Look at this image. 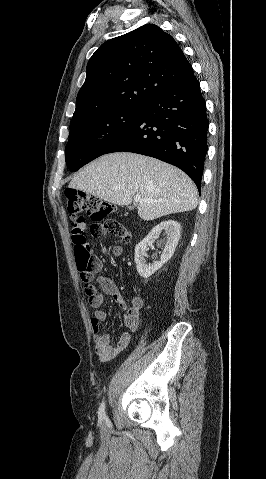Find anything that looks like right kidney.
I'll return each mask as SVG.
<instances>
[{
    "label": "right kidney",
    "mask_w": 266,
    "mask_h": 479,
    "mask_svg": "<svg viewBox=\"0 0 266 479\" xmlns=\"http://www.w3.org/2000/svg\"><path fill=\"white\" fill-rule=\"evenodd\" d=\"M165 231L166 240L164 241V249L160 261L147 264L145 260L147 243L156 239L160 232ZM180 238V224L174 220H166L156 225L148 235L140 241L135 247V263L139 275L148 278L159 270L173 256L176 246Z\"/></svg>",
    "instance_id": "1"
}]
</instances>
